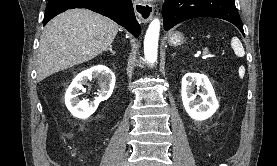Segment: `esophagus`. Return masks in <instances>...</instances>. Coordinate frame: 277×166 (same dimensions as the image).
Instances as JSON below:
<instances>
[{
    "instance_id": "obj_1",
    "label": "esophagus",
    "mask_w": 277,
    "mask_h": 166,
    "mask_svg": "<svg viewBox=\"0 0 277 166\" xmlns=\"http://www.w3.org/2000/svg\"><path fill=\"white\" fill-rule=\"evenodd\" d=\"M134 10L141 23H148L154 13V6L151 3H144L138 0L133 2Z\"/></svg>"
}]
</instances>
